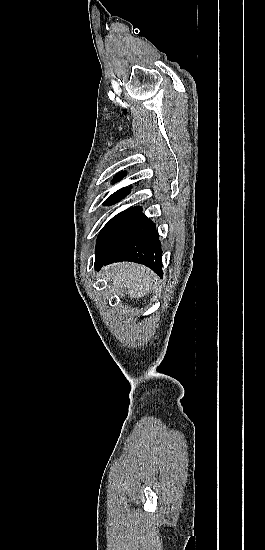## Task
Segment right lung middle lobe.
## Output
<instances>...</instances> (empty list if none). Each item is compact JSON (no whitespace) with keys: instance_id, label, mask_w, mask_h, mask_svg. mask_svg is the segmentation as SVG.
<instances>
[{"instance_id":"obj_1","label":"right lung middle lobe","mask_w":265,"mask_h":550,"mask_svg":"<svg viewBox=\"0 0 265 550\" xmlns=\"http://www.w3.org/2000/svg\"><path fill=\"white\" fill-rule=\"evenodd\" d=\"M130 190H121L112 194L104 205L109 206L122 200ZM142 208L133 207L114 216L101 230L97 238L96 254L111 251L143 218Z\"/></svg>"}]
</instances>
